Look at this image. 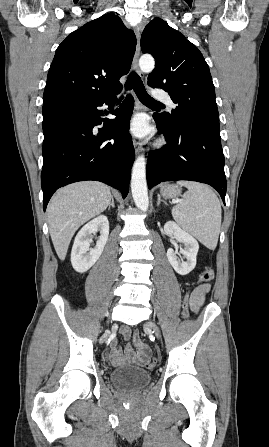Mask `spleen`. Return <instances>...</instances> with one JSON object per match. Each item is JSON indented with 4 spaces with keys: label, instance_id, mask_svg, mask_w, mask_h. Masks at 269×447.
Returning a JSON list of instances; mask_svg holds the SVG:
<instances>
[{
    "label": "spleen",
    "instance_id": "spleen-1",
    "mask_svg": "<svg viewBox=\"0 0 269 447\" xmlns=\"http://www.w3.org/2000/svg\"><path fill=\"white\" fill-rule=\"evenodd\" d=\"M188 188L182 202L172 208L176 224L197 237L209 249H215L221 227V206L212 188L198 182H177Z\"/></svg>",
    "mask_w": 269,
    "mask_h": 447
}]
</instances>
